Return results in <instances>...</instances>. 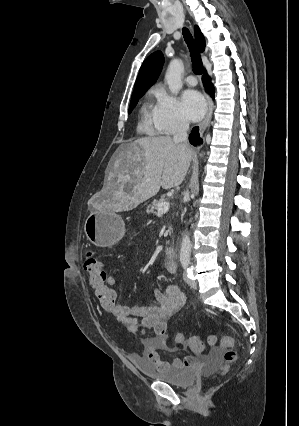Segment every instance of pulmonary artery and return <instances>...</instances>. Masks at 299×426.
Listing matches in <instances>:
<instances>
[{"mask_svg": "<svg viewBox=\"0 0 299 426\" xmlns=\"http://www.w3.org/2000/svg\"><path fill=\"white\" fill-rule=\"evenodd\" d=\"M187 85L189 86H195L197 85V79L194 75H188L185 79Z\"/></svg>", "mask_w": 299, "mask_h": 426, "instance_id": "1", "label": "pulmonary artery"}]
</instances>
